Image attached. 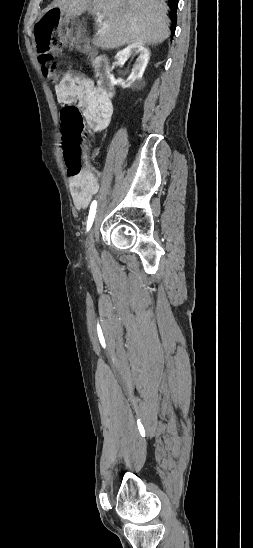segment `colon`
Returning a JSON list of instances; mask_svg holds the SVG:
<instances>
[{
  "label": "colon",
  "instance_id": "obj_1",
  "mask_svg": "<svg viewBox=\"0 0 253 548\" xmlns=\"http://www.w3.org/2000/svg\"><path fill=\"white\" fill-rule=\"evenodd\" d=\"M68 28L62 25L61 13L51 10L44 15L35 26L37 48L40 53L42 71L48 80L58 85L67 72L68 65L54 59V53L64 44ZM63 120L64 156L68 166V175L78 176L83 170L82 135L83 118L76 106H66L61 112Z\"/></svg>",
  "mask_w": 253,
  "mask_h": 548
}]
</instances>
